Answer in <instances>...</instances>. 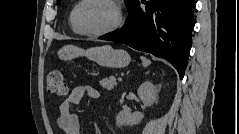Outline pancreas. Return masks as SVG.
<instances>
[{"instance_id": "pancreas-1", "label": "pancreas", "mask_w": 239, "mask_h": 134, "mask_svg": "<svg viewBox=\"0 0 239 134\" xmlns=\"http://www.w3.org/2000/svg\"><path fill=\"white\" fill-rule=\"evenodd\" d=\"M100 85L107 90H112L115 86H117V81L114 76H111L109 78H104L103 80H101Z\"/></svg>"}]
</instances>
